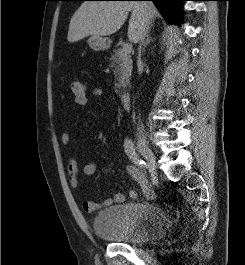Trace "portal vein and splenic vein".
Instances as JSON below:
<instances>
[{
    "label": "portal vein and splenic vein",
    "mask_w": 245,
    "mask_h": 265,
    "mask_svg": "<svg viewBox=\"0 0 245 265\" xmlns=\"http://www.w3.org/2000/svg\"><path fill=\"white\" fill-rule=\"evenodd\" d=\"M132 51V45L130 43H126L123 45V52L125 54H130Z\"/></svg>",
    "instance_id": "obj_1"
}]
</instances>
